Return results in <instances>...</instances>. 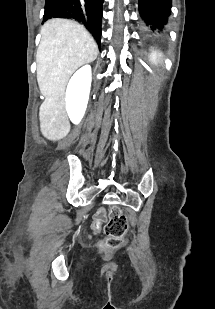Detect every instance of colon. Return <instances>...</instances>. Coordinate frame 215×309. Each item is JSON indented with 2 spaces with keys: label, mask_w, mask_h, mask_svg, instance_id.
<instances>
[{
  "label": "colon",
  "mask_w": 215,
  "mask_h": 309,
  "mask_svg": "<svg viewBox=\"0 0 215 309\" xmlns=\"http://www.w3.org/2000/svg\"><path fill=\"white\" fill-rule=\"evenodd\" d=\"M127 229V220L120 209L115 207L111 210L109 219L104 226L107 238L98 244L99 249L116 248Z\"/></svg>",
  "instance_id": "5ec220e1"
}]
</instances>
